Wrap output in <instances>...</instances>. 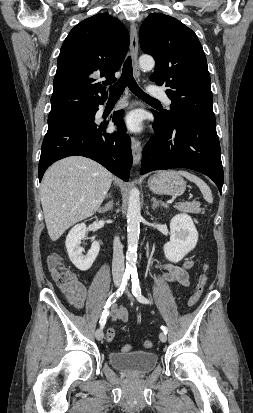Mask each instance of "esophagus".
I'll return each mask as SVG.
<instances>
[{
  "label": "esophagus",
  "instance_id": "34e87169",
  "mask_svg": "<svg viewBox=\"0 0 253 413\" xmlns=\"http://www.w3.org/2000/svg\"><path fill=\"white\" fill-rule=\"evenodd\" d=\"M130 51L134 63V71L136 76L139 75V69L137 65V56H138V32L136 25L131 23L130 25ZM131 148L133 156V164L138 165L141 159L142 146L138 139L132 137L131 139Z\"/></svg>",
  "mask_w": 253,
  "mask_h": 413
}]
</instances>
